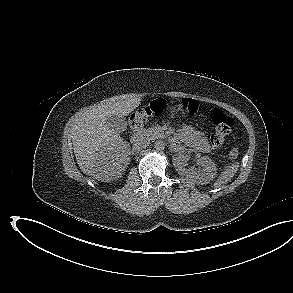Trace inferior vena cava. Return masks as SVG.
<instances>
[{"mask_svg":"<svg viewBox=\"0 0 293 293\" xmlns=\"http://www.w3.org/2000/svg\"><path fill=\"white\" fill-rule=\"evenodd\" d=\"M149 144H150L149 140L141 139L133 145V150L136 151V150L144 149V148L148 147Z\"/></svg>","mask_w":293,"mask_h":293,"instance_id":"inferior-vena-cava-1","label":"inferior vena cava"}]
</instances>
